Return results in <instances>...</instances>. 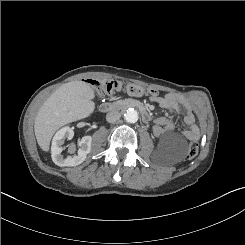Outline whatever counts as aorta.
<instances>
[{
  "label": "aorta",
  "mask_w": 245,
  "mask_h": 245,
  "mask_svg": "<svg viewBox=\"0 0 245 245\" xmlns=\"http://www.w3.org/2000/svg\"><path fill=\"white\" fill-rule=\"evenodd\" d=\"M124 119L129 123H134L138 120V112L135 109L130 108L124 114Z\"/></svg>",
  "instance_id": "obj_1"
}]
</instances>
